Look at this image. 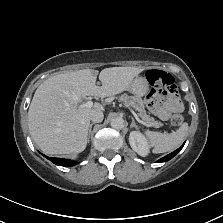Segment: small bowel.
Returning a JSON list of instances; mask_svg holds the SVG:
<instances>
[{"instance_id":"small-bowel-1","label":"small bowel","mask_w":223,"mask_h":223,"mask_svg":"<svg viewBox=\"0 0 223 223\" xmlns=\"http://www.w3.org/2000/svg\"><path fill=\"white\" fill-rule=\"evenodd\" d=\"M145 102L149 110L162 120L169 118L173 112H180L183 108L179 95L165 88L150 91Z\"/></svg>"}]
</instances>
